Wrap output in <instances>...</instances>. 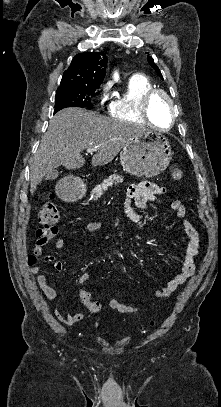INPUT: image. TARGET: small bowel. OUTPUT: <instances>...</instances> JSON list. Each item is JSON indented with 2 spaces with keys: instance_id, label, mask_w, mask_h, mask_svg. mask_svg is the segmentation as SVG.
Masks as SVG:
<instances>
[{
  "instance_id": "1",
  "label": "small bowel",
  "mask_w": 221,
  "mask_h": 407,
  "mask_svg": "<svg viewBox=\"0 0 221 407\" xmlns=\"http://www.w3.org/2000/svg\"><path fill=\"white\" fill-rule=\"evenodd\" d=\"M166 189L154 182L144 181L136 185L131 186L126 194L124 202V214L126 218L135 226L142 228V222L137 210L145 209L149 204L155 202L158 196L163 195ZM171 208L176 212L177 216L182 220V226L187 236V243L184 253L183 262L180 267L179 273L170 280L162 289L155 291L154 297L157 299L165 298L171 295L179 286L185 284L195 272V260L199 254L201 240L197 229L191 224L190 221L185 219L186 208L184 204L179 200L171 202ZM102 227L101 222H90L83 226L80 230V234L91 233L99 230ZM36 241L32 247L31 253L26 258V264L29 268V272L32 275H36V283L50 301L60 300V293L57 289L51 286L48 282L46 275L41 273L39 263H51L55 271L61 273L65 267L61 261L58 260L54 254H45V246L50 238H39L36 234ZM66 241L64 236H60L55 241L57 249L64 247ZM90 279V271L82 273L78 279L79 284H85ZM85 291L80 292V299ZM141 303L133 302H119L115 299L109 302L111 309L117 310L122 313H136L140 310ZM84 313L77 312L74 314H62L56 312V317L66 325H72L80 322L84 319Z\"/></svg>"
}]
</instances>
